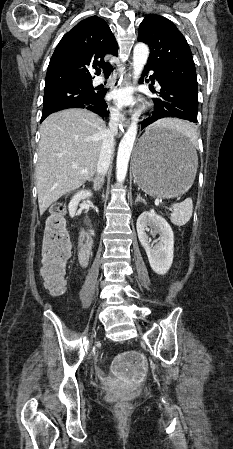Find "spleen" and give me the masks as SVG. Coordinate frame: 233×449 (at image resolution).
Segmentation results:
<instances>
[{"mask_svg":"<svg viewBox=\"0 0 233 449\" xmlns=\"http://www.w3.org/2000/svg\"><path fill=\"white\" fill-rule=\"evenodd\" d=\"M173 133H184V136L188 138L190 142L197 140L195 134V126L192 125H172ZM172 213L170 216L171 222L176 226L185 225L191 218L193 213L192 199L187 198L183 202L175 203L172 205Z\"/></svg>","mask_w":233,"mask_h":449,"instance_id":"3e777b00","label":"spleen"}]
</instances>
